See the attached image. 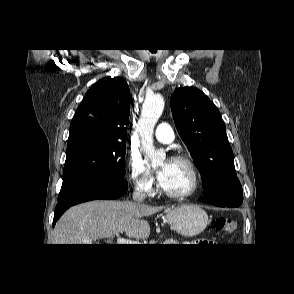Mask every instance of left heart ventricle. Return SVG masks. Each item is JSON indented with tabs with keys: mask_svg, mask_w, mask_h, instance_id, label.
Here are the masks:
<instances>
[{
	"mask_svg": "<svg viewBox=\"0 0 294 294\" xmlns=\"http://www.w3.org/2000/svg\"><path fill=\"white\" fill-rule=\"evenodd\" d=\"M191 173L186 165L171 161L162 187L170 192L179 193L188 190L191 186Z\"/></svg>",
	"mask_w": 294,
	"mask_h": 294,
	"instance_id": "1",
	"label": "left heart ventricle"
}]
</instances>
